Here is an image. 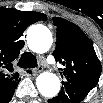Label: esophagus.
I'll use <instances>...</instances> for the list:
<instances>
[{"label":"esophagus","instance_id":"obj_1","mask_svg":"<svg viewBox=\"0 0 103 103\" xmlns=\"http://www.w3.org/2000/svg\"><path fill=\"white\" fill-rule=\"evenodd\" d=\"M43 70L42 67H38V68H34L32 71H33V74L34 75H37L39 72H41Z\"/></svg>","mask_w":103,"mask_h":103}]
</instances>
